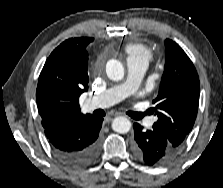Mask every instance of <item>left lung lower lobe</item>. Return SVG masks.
Returning a JSON list of instances; mask_svg holds the SVG:
<instances>
[{
	"label": "left lung lower lobe",
	"instance_id": "obj_1",
	"mask_svg": "<svg viewBox=\"0 0 223 188\" xmlns=\"http://www.w3.org/2000/svg\"><path fill=\"white\" fill-rule=\"evenodd\" d=\"M133 152L146 165L162 164L173 159L179 149L170 142L163 130L153 125L151 130H143L138 123H134Z\"/></svg>",
	"mask_w": 223,
	"mask_h": 188
}]
</instances>
